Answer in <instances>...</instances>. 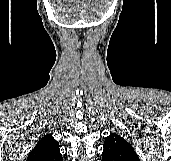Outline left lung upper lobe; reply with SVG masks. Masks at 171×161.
Masks as SVG:
<instances>
[{
    "mask_svg": "<svg viewBox=\"0 0 171 161\" xmlns=\"http://www.w3.org/2000/svg\"><path fill=\"white\" fill-rule=\"evenodd\" d=\"M103 147L102 161H140L131 144L116 133L105 138Z\"/></svg>",
    "mask_w": 171,
    "mask_h": 161,
    "instance_id": "left-lung-upper-lobe-1",
    "label": "left lung upper lobe"
}]
</instances>
